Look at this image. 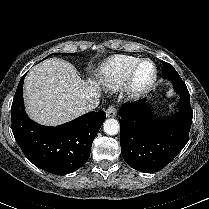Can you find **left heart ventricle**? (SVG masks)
I'll list each match as a JSON object with an SVG mask.
<instances>
[{
    "instance_id": "obj_1",
    "label": "left heart ventricle",
    "mask_w": 209,
    "mask_h": 209,
    "mask_svg": "<svg viewBox=\"0 0 209 209\" xmlns=\"http://www.w3.org/2000/svg\"><path fill=\"white\" fill-rule=\"evenodd\" d=\"M153 73H154V69L152 64L150 63L142 64L137 75L138 82L147 83L148 81L151 80Z\"/></svg>"
}]
</instances>
